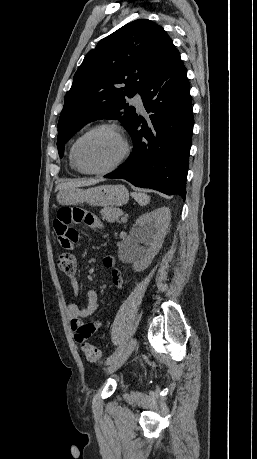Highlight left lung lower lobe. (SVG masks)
I'll use <instances>...</instances> for the list:
<instances>
[{
  "instance_id": "0a47b994",
  "label": "left lung lower lobe",
  "mask_w": 257,
  "mask_h": 459,
  "mask_svg": "<svg viewBox=\"0 0 257 459\" xmlns=\"http://www.w3.org/2000/svg\"><path fill=\"white\" fill-rule=\"evenodd\" d=\"M141 97L150 114L146 118L136 114L127 129L133 152L105 178H122L136 187L185 198L193 112L187 72L176 48Z\"/></svg>"
}]
</instances>
